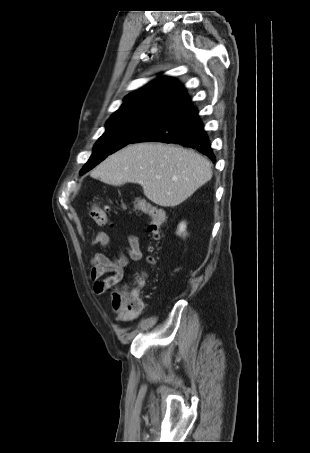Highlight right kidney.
<instances>
[{"label":"right kidney","instance_id":"obj_1","mask_svg":"<svg viewBox=\"0 0 310 453\" xmlns=\"http://www.w3.org/2000/svg\"><path fill=\"white\" fill-rule=\"evenodd\" d=\"M185 230H186V223H185V222H182V223H180L179 226H178L177 234H178V235H181V234H183V233L185 232Z\"/></svg>","mask_w":310,"mask_h":453}]
</instances>
